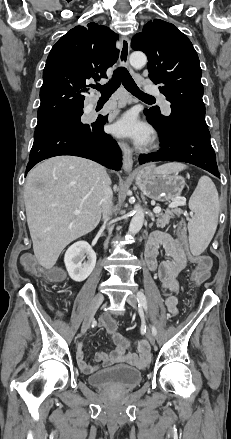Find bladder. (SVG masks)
<instances>
[{"label":"bladder","mask_w":231,"mask_h":439,"mask_svg":"<svg viewBox=\"0 0 231 439\" xmlns=\"http://www.w3.org/2000/svg\"><path fill=\"white\" fill-rule=\"evenodd\" d=\"M90 385L114 390H129L142 381L140 370L126 365L104 369L88 376Z\"/></svg>","instance_id":"bladder-1"}]
</instances>
